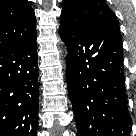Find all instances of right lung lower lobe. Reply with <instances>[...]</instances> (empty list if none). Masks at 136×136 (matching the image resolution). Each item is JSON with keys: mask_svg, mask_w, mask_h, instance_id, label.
Instances as JSON below:
<instances>
[{"mask_svg": "<svg viewBox=\"0 0 136 136\" xmlns=\"http://www.w3.org/2000/svg\"><path fill=\"white\" fill-rule=\"evenodd\" d=\"M36 36L0 50V136H36L39 102Z\"/></svg>", "mask_w": 136, "mask_h": 136, "instance_id": "obj_1", "label": "right lung lower lobe"}]
</instances>
